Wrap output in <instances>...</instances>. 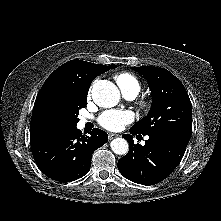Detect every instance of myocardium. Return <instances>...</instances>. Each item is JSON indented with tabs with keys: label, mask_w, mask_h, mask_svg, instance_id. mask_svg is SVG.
Listing matches in <instances>:
<instances>
[{
	"label": "myocardium",
	"mask_w": 221,
	"mask_h": 221,
	"mask_svg": "<svg viewBox=\"0 0 221 221\" xmlns=\"http://www.w3.org/2000/svg\"><path fill=\"white\" fill-rule=\"evenodd\" d=\"M139 104L144 111H149L152 106V102L149 99H142Z\"/></svg>",
	"instance_id": "myocardium-1"
}]
</instances>
